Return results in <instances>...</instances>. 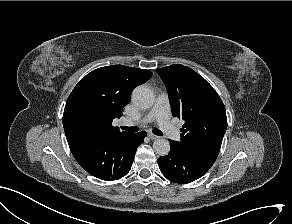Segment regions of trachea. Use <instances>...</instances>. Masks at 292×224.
<instances>
[{"instance_id":"3493384b","label":"trachea","mask_w":292,"mask_h":224,"mask_svg":"<svg viewBox=\"0 0 292 224\" xmlns=\"http://www.w3.org/2000/svg\"><path fill=\"white\" fill-rule=\"evenodd\" d=\"M123 130L125 131H129V132H137L139 131V128L137 126H132V127H121ZM152 132L157 135V136H162L163 135V132L160 131L159 129L157 128H154L152 130Z\"/></svg>"}]
</instances>
